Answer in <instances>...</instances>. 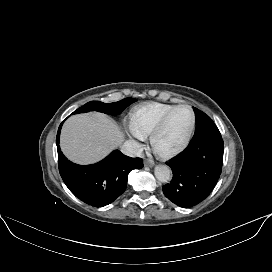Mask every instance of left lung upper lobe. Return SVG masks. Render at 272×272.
Segmentation results:
<instances>
[{
    "mask_svg": "<svg viewBox=\"0 0 272 272\" xmlns=\"http://www.w3.org/2000/svg\"><path fill=\"white\" fill-rule=\"evenodd\" d=\"M193 109L195 111L196 118V130L193 137L199 136L217 127L208 115L198 110L197 108Z\"/></svg>",
    "mask_w": 272,
    "mask_h": 272,
    "instance_id": "1",
    "label": "left lung upper lobe"
}]
</instances>
